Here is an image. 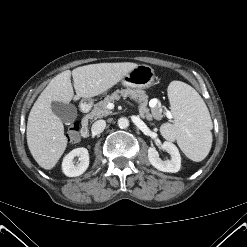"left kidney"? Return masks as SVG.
I'll use <instances>...</instances> for the list:
<instances>
[{
  "mask_svg": "<svg viewBox=\"0 0 247 247\" xmlns=\"http://www.w3.org/2000/svg\"><path fill=\"white\" fill-rule=\"evenodd\" d=\"M163 150L170 154V160H162L155 147L148 148V159L152 166L163 172L176 173L181 168V156L178 148L171 142L165 141Z\"/></svg>",
  "mask_w": 247,
  "mask_h": 247,
  "instance_id": "1",
  "label": "left kidney"
}]
</instances>
